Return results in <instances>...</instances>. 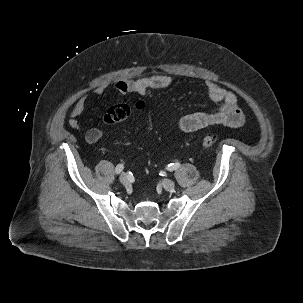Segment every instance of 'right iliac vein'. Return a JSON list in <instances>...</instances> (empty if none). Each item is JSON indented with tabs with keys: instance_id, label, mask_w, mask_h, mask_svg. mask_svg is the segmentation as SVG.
<instances>
[{
	"instance_id": "63e3f726",
	"label": "right iliac vein",
	"mask_w": 303,
	"mask_h": 303,
	"mask_svg": "<svg viewBox=\"0 0 303 303\" xmlns=\"http://www.w3.org/2000/svg\"><path fill=\"white\" fill-rule=\"evenodd\" d=\"M119 180H120V182H121L123 185H126V184H128V182H129V178H128V176H127L125 173H122V174L120 175Z\"/></svg>"
}]
</instances>
